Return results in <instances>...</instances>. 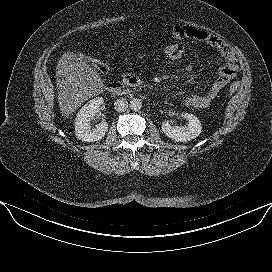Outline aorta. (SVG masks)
I'll list each match as a JSON object with an SVG mask.
<instances>
[{
  "mask_svg": "<svg viewBox=\"0 0 272 272\" xmlns=\"http://www.w3.org/2000/svg\"><path fill=\"white\" fill-rule=\"evenodd\" d=\"M142 108V101L138 98H133L130 101V109L133 111H139Z\"/></svg>",
  "mask_w": 272,
  "mask_h": 272,
  "instance_id": "1",
  "label": "aorta"
}]
</instances>
